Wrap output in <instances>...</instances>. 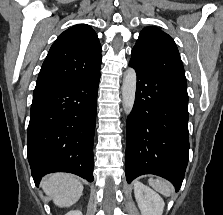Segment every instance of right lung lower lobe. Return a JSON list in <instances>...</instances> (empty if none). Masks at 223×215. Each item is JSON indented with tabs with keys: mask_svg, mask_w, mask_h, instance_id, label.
<instances>
[{
	"mask_svg": "<svg viewBox=\"0 0 223 215\" xmlns=\"http://www.w3.org/2000/svg\"><path fill=\"white\" fill-rule=\"evenodd\" d=\"M100 70L93 76L34 95L28 126V161L36 186L45 174L93 177V140Z\"/></svg>",
	"mask_w": 223,
	"mask_h": 215,
	"instance_id": "right-lung-lower-lobe-1",
	"label": "right lung lower lobe"
}]
</instances>
